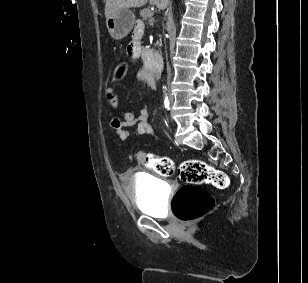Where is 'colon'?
I'll return each instance as SVG.
<instances>
[{
  "mask_svg": "<svg viewBox=\"0 0 308 283\" xmlns=\"http://www.w3.org/2000/svg\"><path fill=\"white\" fill-rule=\"evenodd\" d=\"M127 70L126 62H117L113 69V78H124ZM135 158L145 168L161 176H171L176 171L174 161L166 156L138 153ZM178 174L183 185L178 188L172 199V210L179 220L185 222L201 218L214 207V199L202 187L203 185L223 189L229 184V179L224 172L197 159L182 162L178 167Z\"/></svg>",
  "mask_w": 308,
  "mask_h": 283,
  "instance_id": "1",
  "label": "colon"
}]
</instances>
